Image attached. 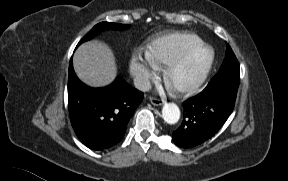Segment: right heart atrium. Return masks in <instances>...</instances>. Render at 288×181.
<instances>
[{
  "label": "right heart atrium",
  "instance_id": "d8ad5b80",
  "mask_svg": "<svg viewBox=\"0 0 288 181\" xmlns=\"http://www.w3.org/2000/svg\"><path fill=\"white\" fill-rule=\"evenodd\" d=\"M157 68V64L147 54L144 56L133 55L130 59L131 74L141 88L147 86Z\"/></svg>",
  "mask_w": 288,
  "mask_h": 181
}]
</instances>
